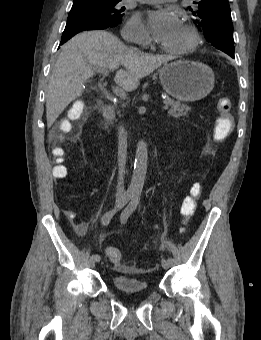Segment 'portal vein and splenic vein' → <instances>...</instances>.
I'll return each mask as SVG.
<instances>
[{"mask_svg":"<svg viewBox=\"0 0 261 340\" xmlns=\"http://www.w3.org/2000/svg\"><path fill=\"white\" fill-rule=\"evenodd\" d=\"M97 69V71H99L100 73H102L104 76H108V69H107V67H97L96 68ZM113 91H114V93L118 96V97H120V98H122V99H125L126 98V93L123 91V90H121L120 88H118V87H115V88H113ZM168 108H169V106L168 105H164L163 106V110H168Z\"/></svg>","mask_w":261,"mask_h":340,"instance_id":"portal-vein-and-splenic-vein-1","label":"portal vein and splenic vein"}]
</instances>
